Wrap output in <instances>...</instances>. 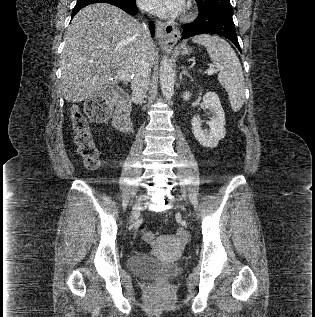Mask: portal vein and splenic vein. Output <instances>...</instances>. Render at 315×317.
Returning a JSON list of instances; mask_svg holds the SVG:
<instances>
[{
    "label": "portal vein and splenic vein",
    "mask_w": 315,
    "mask_h": 317,
    "mask_svg": "<svg viewBox=\"0 0 315 317\" xmlns=\"http://www.w3.org/2000/svg\"><path fill=\"white\" fill-rule=\"evenodd\" d=\"M216 72V70L214 69V68H210L209 70H208V75H212V74H214ZM117 74H118V76H119V78L120 79H122V80H126L125 79V74H124V72L122 71V70H118L117 71Z\"/></svg>",
    "instance_id": "obj_1"
}]
</instances>
